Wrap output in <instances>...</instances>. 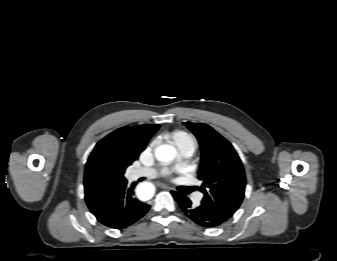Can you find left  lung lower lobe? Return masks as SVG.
I'll return each mask as SVG.
<instances>
[{"instance_id": "1", "label": "left lung lower lobe", "mask_w": 337, "mask_h": 261, "mask_svg": "<svg viewBox=\"0 0 337 261\" xmlns=\"http://www.w3.org/2000/svg\"><path fill=\"white\" fill-rule=\"evenodd\" d=\"M172 195L184 214L199 226L213 228L222 225L229 219L209 205L201 204L198 207H193L188 197L174 191H172Z\"/></svg>"}]
</instances>
